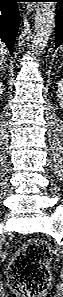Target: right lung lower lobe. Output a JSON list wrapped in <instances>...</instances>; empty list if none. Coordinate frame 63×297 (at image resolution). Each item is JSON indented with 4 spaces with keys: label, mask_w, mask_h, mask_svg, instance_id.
Here are the masks:
<instances>
[{
    "label": "right lung lower lobe",
    "mask_w": 63,
    "mask_h": 297,
    "mask_svg": "<svg viewBox=\"0 0 63 297\" xmlns=\"http://www.w3.org/2000/svg\"><path fill=\"white\" fill-rule=\"evenodd\" d=\"M0 39L12 54L20 23L18 0H0Z\"/></svg>",
    "instance_id": "right-lung-lower-lobe-1"
}]
</instances>
